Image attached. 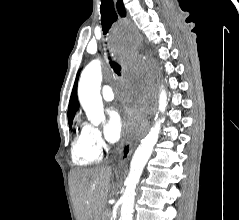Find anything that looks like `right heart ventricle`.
Here are the masks:
<instances>
[{
	"label": "right heart ventricle",
	"mask_w": 239,
	"mask_h": 220,
	"mask_svg": "<svg viewBox=\"0 0 239 220\" xmlns=\"http://www.w3.org/2000/svg\"><path fill=\"white\" fill-rule=\"evenodd\" d=\"M72 162L77 166H89L101 159L99 152L90 142L85 124H80L71 149Z\"/></svg>",
	"instance_id": "e07e8e85"
}]
</instances>
